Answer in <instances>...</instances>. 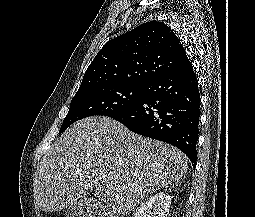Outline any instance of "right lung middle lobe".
Segmentation results:
<instances>
[{"label":"right lung middle lobe","mask_w":255,"mask_h":217,"mask_svg":"<svg viewBox=\"0 0 255 217\" xmlns=\"http://www.w3.org/2000/svg\"><path fill=\"white\" fill-rule=\"evenodd\" d=\"M145 89V85H112L77 91L59 133L80 119L94 115L105 116L129 107L141 97Z\"/></svg>","instance_id":"right-lung-middle-lobe-1"}]
</instances>
